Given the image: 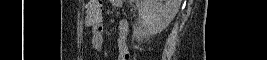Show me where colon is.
Returning a JSON list of instances; mask_svg holds the SVG:
<instances>
[{
    "instance_id": "1",
    "label": "colon",
    "mask_w": 267,
    "mask_h": 60,
    "mask_svg": "<svg viewBox=\"0 0 267 60\" xmlns=\"http://www.w3.org/2000/svg\"><path fill=\"white\" fill-rule=\"evenodd\" d=\"M103 15L102 1L91 0L86 8V22L90 26L100 24Z\"/></svg>"
}]
</instances>
